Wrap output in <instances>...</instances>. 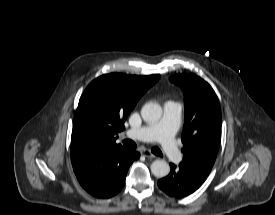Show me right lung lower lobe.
<instances>
[{"mask_svg": "<svg viewBox=\"0 0 275 215\" xmlns=\"http://www.w3.org/2000/svg\"><path fill=\"white\" fill-rule=\"evenodd\" d=\"M139 156L123 147L99 150L73 165V169L87 192L97 198H109L123 188L127 171Z\"/></svg>", "mask_w": 275, "mask_h": 215, "instance_id": "1", "label": "right lung lower lobe"}]
</instances>
